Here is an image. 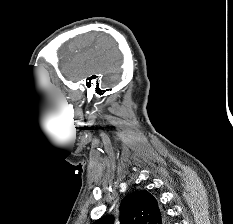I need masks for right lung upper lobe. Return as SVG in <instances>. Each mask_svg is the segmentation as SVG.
<instances>
[{
    "mask_svg": "<svg viewBox=\"0 0 233 224\" xmlns=\"http://www.w3.org/2000/svg\"><path fill=\"white\" fill-rule=\"evenodd\" d=\"M112 216H104L93 224H112ZM121 224H166L156 199L147 191H136L127 195L120 205Z\"/></svg>",
    "mask_w": 233,
    "mask_h": 224,
    "instance_id": "right-lung-upper-lobe-1",
    "label": "right lung upper lobe"
}]
</instances>
